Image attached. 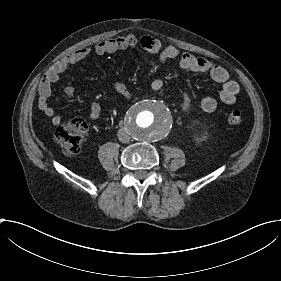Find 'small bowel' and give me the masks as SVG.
I'll list each match as a JSON object with an SVG mask.
<instances>
[{
	"label": "small bowel",
	"mask_w": 281,
	"mask_h": 281,
	"mask_svg": "<svg viewBox=\"0 0 281 281\" xmlns=\"http://www.w3.org/2000/svg\"><path fill=\"white\" fill-rule=\"evenodd\" d=\"M138 47L149 52L158 53L159 61L163 66L171 60H176L181 69L192 72L209 73L216 82L220 83L222 88L219 96L206 95L201 98L200 106L204 111H214L219 101L227 105H233L235 103L239 92V84L230 79L227 70L221 65L207 59L197 58L191 54H181L177 48L164 46L159 39L151 36L129 34L102 40L91 46L81 47L56 63L40 84L38 97V107L40 111L49 119L53 126H61L63 124V118L55 112L54 108L49 103L52 85L59 80L61 74L69 67L83 61L91 55H105L119 50ZM111 86L125 99L131 98L130 91L122 81L113 79L111 81ZM151 88L155 91L161 90L163 88V81L161 79H154L151 82ZM63 94L68 100L73 101L76 95L75 88L71 85H67L63 89ZM100 115L101 104L96 101L92 102L90 112L91 120L97 121Z\"/></svg>",
	"instance_id": "c3829d8e"
}]
</instances>
